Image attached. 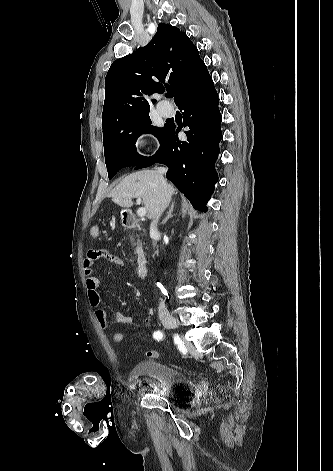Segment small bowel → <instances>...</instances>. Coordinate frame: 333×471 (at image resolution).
<instances>
[{"instance_id": "small-bowel-1", "label": "small bowel", "mask_w": 333, "mask_h": 471, "mask_svg": "<svg viewBox=\"0 0 333 471\" xmlns=\"http://www.w3.org/2000/svg\"><path fill=\"white\" fill-rule=\"evenodd\" d=\"M97 260H105L119 266H123L124 262L120 257L105 249L89 250L83 261V271L86 278L88 300L90 305L94 308V316L97 323L103 330H105L108 328L109 324L106 312L100 308L101 295L98 290L100 279L94 274V264ZM115 322L117 324L131 325L134 323V319L130 315L119 312L115 315ZM144 323L145 325H148L150 323V318H146Z\"/></svg>"}]
</instances>
